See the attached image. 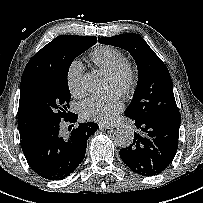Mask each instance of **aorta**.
<instances>
[{
	"label": "aorta",
	"mask_w": 203,
	"mask_h": 203,
	"mask_svg": "<svg viewBox=\"0 0 203 203\" xmlns=\"http://www.w3.org/2000/svg\"><path fill=\"white\" fill-rule=\"evenodd\" d=\"M83 86L89 92H97L100 88L99 78L95 73H88L83 77ZM134 139L133 131L126 126L118 127L114 133V142L119 147H128Z\"/></svg>",
	"instance_id": "1"
}]
</instances>
